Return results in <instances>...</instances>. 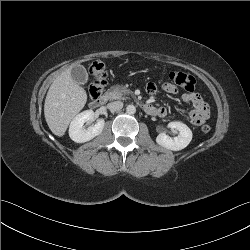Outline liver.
I'll return each instance as SVG.
<instances>
[{
    "label": "liver",
    "mask_w": 250,
    "mask_h": 250,
    "mask_svg": "<svg viewBox=\"0 0 250 250\" xmlns=\"http://www.w3.org/2000/svg\"><path fill=\"white\" fill-rule=\"evenodd\" d=\"M72 67L63 71L51 84L44 103L48 127L62 137L75 115L85 106L86 91L71 77Z\"/></svg>",
    "instance_id": "6515ba94"
}]
</instances>
